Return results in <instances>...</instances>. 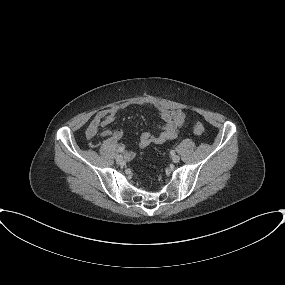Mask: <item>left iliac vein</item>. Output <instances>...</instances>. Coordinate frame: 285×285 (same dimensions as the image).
Listing matches in <instances>:
<instances>
[{
	"mask_svg": "<svg viewBox=\"0 0 285 285\" xmlns=\"http://www.w3.org/2000/svg\"><path fill=\"white\" fill-rule=\"evenodd\" d=\"M172 161H173L174 163H178V162L180 161V157H179L178 155H173V156H172Z\"/></svg>",
	"mask_w": 285,
	"mask_h": 285,
	"instance_id": "4c4485c4",
	"label": "left iliac vein"
}]
</instances>
